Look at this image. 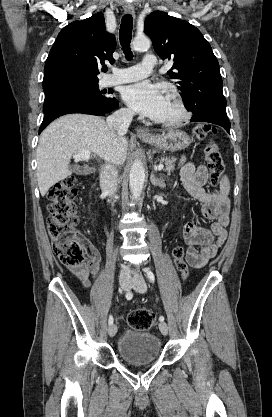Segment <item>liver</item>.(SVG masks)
Masks as SVG:
<instances>
[{"instance_id": "liver-1", "label": "liver", "mask_w": 272, "mask_h": 417, "mask_svg": "<svg viewBox=\"0 0 272 417\" xmlns=\"http://www.w3.org/2000/svg\"><path fill=\"white\" fill-rule=\"evenodd\" d=\"M125 132L111 130L105 120L92 115L70 114L52 122L41 134L37 147V181L42 196L71 175L72 155L94 153L114 165L127 157Z\"/></svg>"}]
</instances>
